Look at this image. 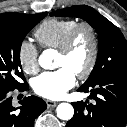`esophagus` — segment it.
<instances>
[{"label":"esophagus","instance_id":"obj_1","mask_svg":"<svg viewBox=\"0 0 127 127\" xmlns=\"http://www.w3.org/2000/svg\"><path fill=\"white\" fill-rule=\"evenodd\" d=\"M46 104L48 108H54L57 106L58 103L51 100H46Z\"/></svg>","mask_w":127,"mask_h":127}]
</instances>
